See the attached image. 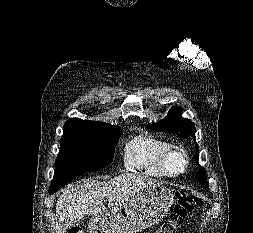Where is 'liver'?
Masks as SVG:
<instances>
[{
  "mask_svg": "<svg viewBox=\"0 0 253 233\" xmlns=\"http://www.w3.org/2000/svg\"><path fill=\"white\" fill-rule=\"evenodd\" d=\"M159 181L138 173H126L116 176L108 182L87 179L63 191L56 203L55 233H65L67 228L84 216L105 213L103 199L110 206L119 205L139 191Z\"/></svg>",
  "mask_w": 253,
  "mask_h": 233,
  "instance_id": "6515ba94",
  "label": "liver"
}]
</instances>
